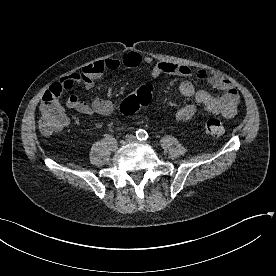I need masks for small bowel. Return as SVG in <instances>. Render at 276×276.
Returning <instances> with one entry per match:
<instances>
[{"instance_id": "obj_1", "label": "small bowel", "mask_w": 276, "mask_h": 276, "mask_svg": "<svg viewBox=\"0 0 276 276\" xmlns=\"http://www.w3.org/2000/svg\"><path fill=\"white\" fill-rule=\"evenodd\" d=\"M142 64L151 66L153 77L169 74L189 78L195 75L198 79L208 82L219 92L218 94H212L205 90H197L191 81H182L179 85L180 93L185 97L192 98L193 102L182 106L176 111L175 119L177 121L185 122L190 120L197 113L200 106L212 114L222 115L225 118L235 116L239 95L232 83L226 78L214 72L197 71L193 73L185 65L154 62L152 57L142 56L134 51L124 54L120 59L110 58L95 61L83 67L80 72L62 78L59 83H72L74 87L81 86L84 89H91L96 82L103 79L106 75L114 74L122 67L135 68ZM48 92L43 95L41 105L45 102ZM112 97V92H109L105 98L94 96L90 102H85L79 99L77 95L71 94L66 99V105L86 116H107L115 109Z\"/></svg>"}]
</instances>
